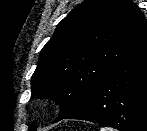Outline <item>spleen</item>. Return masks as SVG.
I'll use <instances>...</instances> for the list:
<instances>
[{
    "instance_id": "obj_1",
    "label": "spleen",
    "mask_w": 147,
    "mask_h": 131,
    "mask_svg": "<svg viewBox=\"0 0 147 131\" xmlns=\"http://www.w3.org/2000/svg\"><path fill=\"white\" fill-rule=\"evenodd\" d=\"M100 131H115V130H113L112 128H108V127H102Z\"/></svg>"
}]
</instances>
